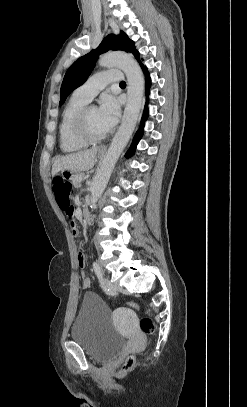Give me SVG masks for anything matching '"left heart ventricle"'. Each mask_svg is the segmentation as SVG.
Listing matches in <instances>:
<instances>
[{"instance_id": "obj_1", "label": "left heart ventricle", "mask_w": 247, "mask_h": 407, "mask_svg": "<svg viewBox=\"0 0 247 407\" xmlns=\"http://www.w3.org/2000/svg\"><path fill=\"white\" fill-rule=\"evenodd\" d=\"M87 125L93 135H102L109 129L105 126L100 118L99 111L96 107L91 108L87 113Z\"/></svg>"}]
</instances>
